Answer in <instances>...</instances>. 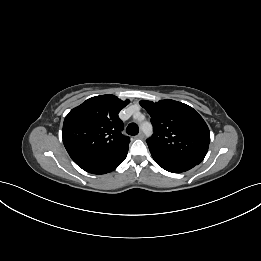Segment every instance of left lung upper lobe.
I'll list each match as a JSON object with an SVG mask.
<instances>
[{
	"label": "left lung upper lobe",
	"instance_id": "left-lung-upper-lobe-1",
	"mask_svg": "<svg viewBox=\"0 0 261 261\" xmlns=\"http://www.w3.org/2000/svg\"><path fill=\"white\" fill-rule=\"evenodd\" d=\"M140 105L150 114L154 128V135L147 140L149 149L197 165L202 162L210 132L192 107L170 99L156 103L142 100Z\"/></svg>",
	"mask_w": 261,
	"mask_h": 261
}]
</instances>
